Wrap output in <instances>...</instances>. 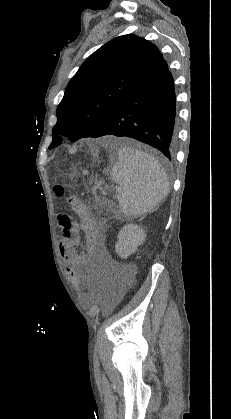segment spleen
Returning a JSON list of instances; mask_svg holds the SVG:
<instances>
[{
    "label": "spleen",
    "mask_w": 231,
    "mask_h": 419,
    "mask_svg": "<svg viewBox=\"0 0 231 419\" xmlns=\"http://www.w3.org/2000/svg\"><path fill=\"white\" fill-rule=\"evenodd\" d=\"M111 179L117 183V200L125 216L154 211L168 195L169 180L160 163L141 150L124 146L118 149Z\"/></svg>",
    "instance_id": "obj_1"
}]
</instances>
